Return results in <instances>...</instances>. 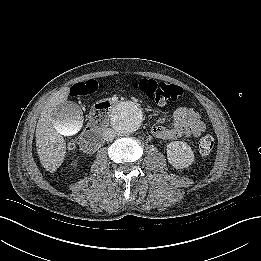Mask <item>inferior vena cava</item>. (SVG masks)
Returning <instances> with one entry per match:
<instances>
[{
    "label": "inferior vena cava",
    "mask_w": 261,
    "mask_h": 261,
    "mask_svg": "<svg viewBox=\"0 0 261 261\" xmlns=\"http://www.w3.org/2000/svg\"><path fill=\"white\" fill-rule=\"evenodd\" d=\"M116 136V132L112 128H106L103 131V138L106 141H112Z\"/></svg>",
    "instance_id": "602c4592"
}]
</instances>
